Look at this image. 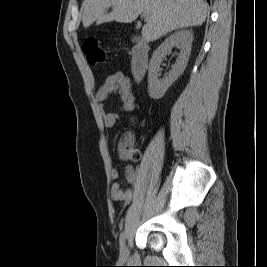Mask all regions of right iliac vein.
Returning <instances> with one entry per match:
<instances>
[{
	"mask_svg": "<svg viewBox=\"0 0 267 267\" xmlns=\"http://www.w3.org/2000/svg\"><path fill=\"white\" fill-rule=\"evenodd\" d=\"M128 258V248H127V245L124 243L121 245V248H120V259L121 261H126Z\"/></svg>",
	"mask_w": 267,
	"mask_h": 267,
	"instance_id": "63e3f726",
	"label": "right iliac vein"
}]
</instances>
